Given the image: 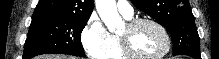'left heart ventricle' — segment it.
<instances>
[{
  "mask_svg": "<svg viewBox=\"0 0 219 59\" xmlns=\"http://www.w3.org/2000/svg\"><path fill=\"white\" fill-rule=\"evenodd\" d=\"M119 36L128 38L133 51L141 56H154L165 48L163 35L151 24H142L135 29L125 25Z\"/></svg>",
  "mask_w": 219,
  "mask_h": 59,
  "instance_id": "left-heart-ventricle-1",
  "label": "left heart ventricle"
}]
</instances>
